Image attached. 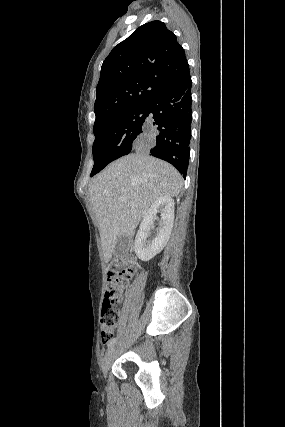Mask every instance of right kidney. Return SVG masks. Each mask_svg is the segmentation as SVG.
Wrapping results in <instances>:
<instances>
[{
  "instance_id": "obj_1",
  "label": "right kidney",
  "mask_w": 285,
  "mask_h": 427,
  "mask_svg": "<svg viewBox=\"0 0 285 427\" xmlns=\"http://www.w3.org/2000/svg\"><path fill=\"white\" fill-rule=\"evenodd\" d=\"M161 214L157 235L148 241L149 231L153 222ZM174 222V200L169 196L160 197L144 215L140 229L135 238V253L142 261H149L160 253L169 241Z\"/></svg>"
}]
</instances>
